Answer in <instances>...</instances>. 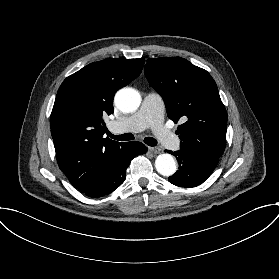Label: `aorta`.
<instances>
[{
    "instance_id": "762f6f07",
    "label": "aorta",
    "mask_w": 279,
    "mask_h": 279,
    "mask_svg": "<svg viewBox=\"0 0 279 279\" xmlns=\"http://www.w3.org/2000/svg\"><path fill=\"white\" fill-rule=\"evenodd\" d=\"M114 102L120 111L130 113L140 106L141 96L133 88H122L116 93ZM155 167L158 173L163 176L173 175L177 168L175 159L167 153L158 155L155 160Z\"/></svg>"
}]
</instances>
